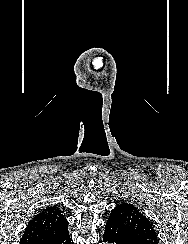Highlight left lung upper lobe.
I'll return each instance as SVG.
<instances>
[{"mask_svg": "<svg viewBox=\"0 0 188 244\" xmlns=\"http://www.w3.org/2000/svg\"><path fill=\"white\" fill-rule=\"evenodd\" d=\"M111 212H115L141 241L147 244H158L157 233L152 222L137 207L130 203H118Z\"/></svg>", "mask_w": 188, "mask_h": 244, "instance_id": "obj_1", "label": "left lung upper lobe"}]
</instances>
